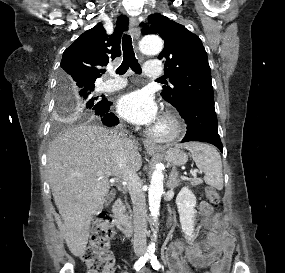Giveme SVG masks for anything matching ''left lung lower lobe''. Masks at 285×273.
<instances>
[{
  "mask_svg": "<svg viewBox=\"0 0 285 273\" xmlns=\"http://www.w3.org/2000/svg\"><path fill=\"white\" fill-rule=\"evenodd\" d=\"M174 107L187 123V133L182 142L203 141L222 151L214 100L189 101Z\"/></svg>",
  "mask_w": 285,
  "mask_h": 273,
  "instance_id": "left-lung-lower-lobe-1",
  "label": "left lung lower lobe"
}]
</instances>
